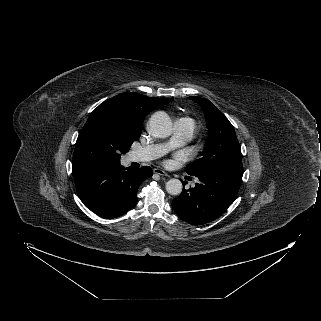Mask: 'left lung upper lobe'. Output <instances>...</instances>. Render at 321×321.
Wrapping results in <instances>:
<instances>
[{
    "instance_id": "left-lung-upper-lobe-1",
    "label": "left lung upper lobe",
    "mask_w": 321,
    "mask_h": 321,
    "mask_svg": "<svg viewBox=\"0 0 321 321\" xmlns=\"http://www.w3.org/2000/svg\"><path fill=\"white\" fill-rule=\"evenodd\" d=\"M189 99L203 109L209 138L202 157L188 164L186 172L197 176L216 168L242 167L241 148L229 120L209 100L197 96H191Z\"/></svg>"
}]
</instances>
